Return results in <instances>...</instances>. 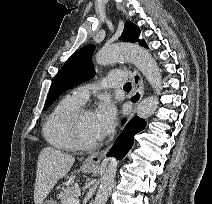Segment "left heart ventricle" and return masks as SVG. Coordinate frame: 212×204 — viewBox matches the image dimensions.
<instances>
[{
  "label": "left heart ventricle",
  "instance_id": "left-heart-ventricle-1",
  "mask_svg": "<svg viewBox=\"0 0 212 204\" xmlns=\"http://www.w3.org/2000/svg\"><path fill=\"white\" fill-rule=\"evenodd\" d=\"M80 134L85 142L92 143L99 140L94 112L84 115L80 121Z\"/></svg>",
  "mask_w": 212,
  "mask_h": 204
}]
</instances>
